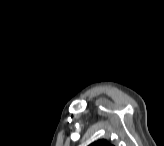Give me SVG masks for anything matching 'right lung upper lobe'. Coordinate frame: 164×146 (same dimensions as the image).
Wrapping results in <instances>:
<instances>
[{
    "label": "right lung upper lobe",
    "instance_id": "obj_1",
    "mask_svg": "<svg viewBox=\"0 0 164 146\" xmlns=\"http://www.w3.org/2000/svg\"><path fill=\"white\" fill-rule=\"evenodd\" d=\"M91 146H110V144L105 140H99L91 144Z\"/></svg>",
    "mask_w": 164,
    "mask_h": 146
}]
</instances>
